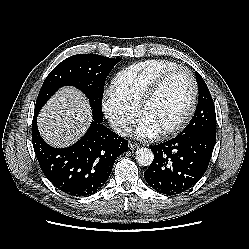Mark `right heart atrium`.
Wrapping results in <instances>:
<instances>
[{
  "instance_id": "d8ad5b80",
  "label": "right heart atrium",
  "mask_w": 249,
  "mask_h": 249,
  "mask_svg": "<svg viewBox=\"0 0 249 249\" xmlns=\"http://www.w3.org/2000/svg\"><path fill=\"white\" fill-rule=\"evenodd\" d=\"M101 106L105 117L118 134L128 133L137 120V110L120 100L112 91L105 93Z\"/></svg>"
}]
</instances>
